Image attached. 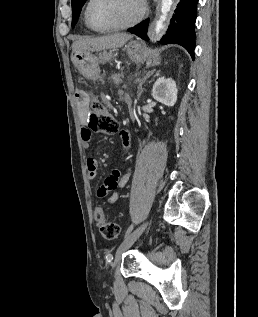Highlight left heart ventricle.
I'll return each mask as SVG.
<instances>
[{"instance_id": "left-heart-ventricle-1", "label": "left heart ventricle", "mask_w": 258, "mask_h": 317, "mask_svg": "<svg viewBox=\"0 0 258 317\" xmlns=\"http://www.w3.org/2000/svg\"><path fill=\"white\" fill-rule=\"evenodd\" d=\"M139 11L134 0H97L90 8L92 22L101 28L131 23Z\"/></svg>"}]
</instances>
